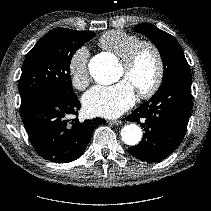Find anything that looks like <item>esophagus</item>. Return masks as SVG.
Masks as SVG:
<instances>
[{
  "label": "esophagus",
  "instance_id": "1",
  "mask_svg": "<svg viewBox=\"0 0 211 211\" xmlns=\"http://www.w3.org/2000/svg\"><path fill=\"white\" fill-rule=\"evenodd\" d=\"M110 123L113 125H121L122 121L121 120H112V121H110Z\"/></svg>",
  "mask_w": 211,
  "mask_h": 211
}]
</instances>
